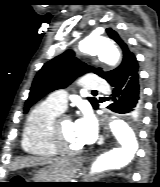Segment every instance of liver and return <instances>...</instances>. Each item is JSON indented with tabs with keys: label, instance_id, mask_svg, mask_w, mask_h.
Here are the masks:
<instances>
[{
	"label": "liver",
	"instance_id": "1",
	"mask_svg": "<svg viewBox=\"0 0 160 187\" xmlns=\"http://www.w3.org/2000/svg\"><path fill=\"white\" fill-rule=\"evenodd\" d=\"M58 159H52V158H40V157H25L20 160H17L13 166L12 170H18L25 167H33V166H42L46 164H52Z\"/></svg>",
	"mask_w": 160,
	"mask_h": 187
}]
</instances>
